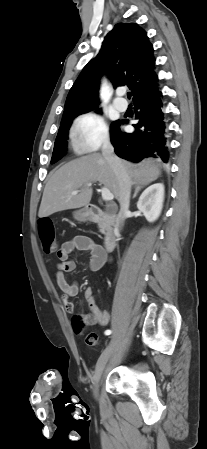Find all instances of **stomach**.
<instances>
[{"label": "stomach", "mask_w": 207, "mask_h": 449, "mask_svg": "<svg viewBox=\"0 0 207 449\" xmlns=\"http://www.w3.org/2000/svg\"><path fill=\"white\" fill-rule=\"evenodd\" d=\"M73 217L75 220L79 222L87 221L90 218V212L87 208H82L79 210L74 211Z\"/></svg>", "instance_id": "1"}]
</instances>
